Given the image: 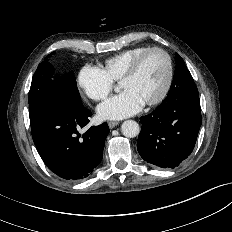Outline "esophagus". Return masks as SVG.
Instances as JSON below:
<instances>
[{"label":"esophagus","mask_w":232,"mask_h":232,"mask_svg":"<svg viewBox=\"0 0 232 232\" xmlns=\"http://www.w3.org/2000/svg\"><path fill=\"white\" fill-rule=\"evenodd\" d=\"M118 124H119V123L116 122V121H110V122H108V126H109L111 129L114 128V127H116Z\"/></svg>","instance_id":"obj_1"}]
</instances>
